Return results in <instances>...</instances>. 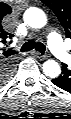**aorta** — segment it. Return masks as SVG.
<instances>
[{
  "mask_svg": "<svg viewBox=\"0 0 71 119\" xmlns=\"http://www.w3.org/2000/svg\"><path fill=\"white\" fill-rule=\"evenodd\" d=\"M24 19L26 23L33 28H42L47 23V18L45 13L38 8H30L24 14ZM43 72L48 77H57L60 72V65L54 60H47L42 65Z\"/></svg>",
  "mask_w": 71,
  "mask_h": 119,
  "instance_id": "1",
  "label": "aorta"
}]
</instances>
